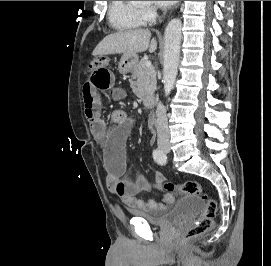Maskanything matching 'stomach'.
Wrapping results in <instances>:
<instances>
[{"mask_svg":"<svg viewBox=\"0 0 271 266\" xmlns=\"http://www.w3.org/2000/svg\"><path fill=\"white\" fill-rule=\"evenodd\" d=\"M137 54H123L120 62L118 64V70L122 74H126L133 70V68L138 64Z\"/></svg>","mask_w":271,"mask_h":266,"instance_id":"stomach-1","label":"stomach"}]
</instances>
